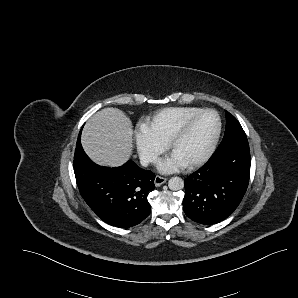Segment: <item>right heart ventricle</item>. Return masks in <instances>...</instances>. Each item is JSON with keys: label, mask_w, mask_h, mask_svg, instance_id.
I'll return each instance as SVG.
<instances>
[{"label": "right heart ventricle", "mask_w": 298, "mask_h": 298, "mask_svg": "<svg viewBox=\"0 0 298 298\" xmlns=\"http://www.w3.org/2000/svg\"><path fill=\"white\" fill-rule=\"evenodd\" d=\"M202 110L195 106L169 107L156 112L150 120L151 129L160 134V137L166 140L173 128L181 121L192 114Z\"/></svg>", "instance_id": "right-heart-ventricle-1"}]
</instances>
